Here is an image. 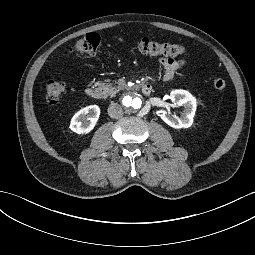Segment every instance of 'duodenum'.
<instances>
[{
    "instance_id": "obj_1",
    "label": "duodenum",
    "mask_w": 255,
    "mask_h": 255,
    "mask_svg": "<svg viewBox=\"0 0 255 255\" xmlns=\"http://www.w3.org/2000/svg\"><path fill=\"white\" fill-rule=\"evenodd\" d=\"M144 95H150L152 92V87L149 84H143L141 88ZM86 95L94 100H97L101 97V93L97 88L94 87H88L85 90Z\"/></svg>"
}]
</instances>
